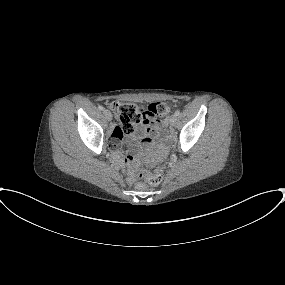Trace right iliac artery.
Returning a JSON list of instances; mask_svg holds the SVG:
<instances>
[{"instance_id":"82829eb1","label":"right iliac artery","mask_w":285,"mask_h":285,"mask_svg":"<svg viewBox=\"0 0 285 285\" xmlns=\"http://www.w3.org/2000/svg\"><path fill=\"white\" fill-rule=\"evenodd\" d=\"M99 110L103 111L104 110V107L102 105H99L98 106Z\"/></svg>"}]
</instances>
